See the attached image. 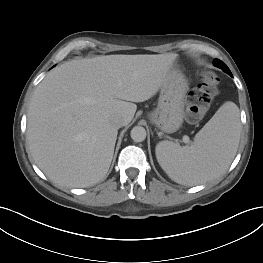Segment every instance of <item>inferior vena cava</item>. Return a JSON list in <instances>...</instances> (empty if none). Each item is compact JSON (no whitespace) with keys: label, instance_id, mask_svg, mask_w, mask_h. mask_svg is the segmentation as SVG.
<instances>
[{"label":"inferior vena cava","instance_id":"obj_1","mask_svg":"<svg viewBox=\"0 0 263 263\" xmlns=\"http://www.w3.org/2000/svg\"><path fill=\"white\" fill-rule=\"evenodd\" d=\"M112 123L117 127L120 128L124 125V120L120 116H116L112 119Z\"/></svg>","mask_w":263,"mask_h":263}]
</instances>
